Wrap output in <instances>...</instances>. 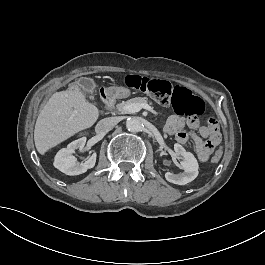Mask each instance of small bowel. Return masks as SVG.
I'll list each match as a JSON object with an SVG mask.
<instances>
[{
    "mask_svg": "<svg viewBox=\"0 0 265 265\" xmlns=\"http://www.w3.org/2000/svg\"><path fill=\"white\" fill-rule=\"evenodd\" d=\"M186 126L191 131H186ZM164 131L174 136L181 145L191 143L198 160L202 163L209 160L221 140L219 128L215 121L200 125L197 119H185L179 115H171L168 118Z\"/></svg>",
    "mask_w": 265,
    "mask_h": 265,
    "instance_id": "c3829d8e",
    "label": "small bowel"
}]
</instances>
